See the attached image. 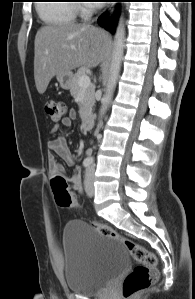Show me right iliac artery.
Listing matches in <instances>:
<instances>
[{"label":"right iliac artery","instance_id":"right-iliac-artery-1","mask_svg":"<svg viewBox=\"0 0 195 299\" xmlns=\"http://www.w3.org/2000/svg\"><path fill=\"white\" fill-rule=\"evenodd\" d=\"M91 163H92V161L90 159H88V158H86V159L83 160V166L85 168H88Z\"/></svg>","mask_w":195,"mask_h":299}]
</instances>
